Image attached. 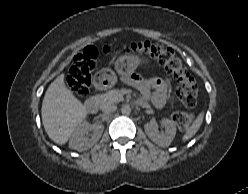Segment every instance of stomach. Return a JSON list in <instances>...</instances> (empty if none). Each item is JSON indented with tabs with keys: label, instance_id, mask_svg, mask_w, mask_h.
<instances>
[{
	"label": "stomach",
	"instance_id": "1",
	"mask_svg": "<svg viewBox=\"0 0 248 194\" xmlns=\"http://www.w3.org/2000/svg\"><path fill=\"white\" fill-rule=\"evenodd\" d=\"M149 61L140 58L136 55H123L115 61V69L121 76H128L132 74L139 66L148 65ZM103 81H106V86H113L117 82V76L114 72L110 71L103 73Z\"/></svg>",
	"mask_w": 248,
	"mask_h": 194
}]
</instances>
